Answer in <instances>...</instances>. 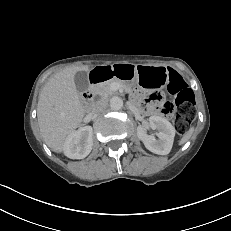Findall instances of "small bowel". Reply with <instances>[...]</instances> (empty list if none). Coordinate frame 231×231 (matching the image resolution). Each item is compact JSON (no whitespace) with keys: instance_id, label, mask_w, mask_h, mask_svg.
Returning a JSON list of instances; mask_svg holds the SVG:
<instances>
[{"instance_id":"c3829d8e","label":"small bowel","mask_w":231,"mask_h":231,"mask_svg":"<svg viewBox=\"0 0 231 231\" xmlns=\"http://www.w3.org/2000/svg\"><path fill=\"white\" fill-rule=\"evenodd\" d=\"M155 100L159 101V100H161V99H160V97H155Z\"/></svg>"}]
</instances>
